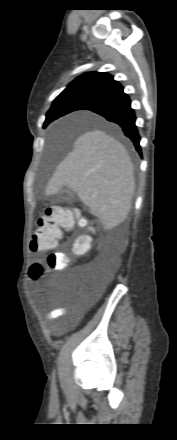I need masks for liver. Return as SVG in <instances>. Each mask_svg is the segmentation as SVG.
Instances as JSON below:
<instances>
[{
	"mask_svg": "<svg viewBox=\"0 0 177 440\" xmlns=\"http://www.w3.org/2000/svg\"><path fill=\"white\" fill-rule=\"evenodd\" d=\"M64 186L77 193L106 230L113 229L127 218L135 190L127 150L104 131L85 132L56 168L45 194L55 195Z\"/></svg>",
	"mask_w": 177,
	"mask_h": 440,
	"instance_id": "1",
	"label": "liver"
}]
</instances>
